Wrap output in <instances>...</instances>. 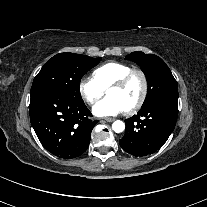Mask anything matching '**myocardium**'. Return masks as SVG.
<instances>
[{
  "label": "myocardium",
  "instance_id": "obj_1",
  "mask_svg": "<svg viewBox=\"0 0 207 207\" xmlns=\"http://www.w3.org/2000/svg\"><path fill=\"white\" fill-rule=\"evenodd\" d=\"M136 76H138L142 81V92L136 103L125 110V113L127 115H131L137 112L142 107L147 98L149 91V83L146 74L140 69H132L127 74L122 76L120 79L112 83L108 88V90L124 88Z\"/></svg>",
  "mask_w": 207,
  "mask_h": 207
}]
</instances>
